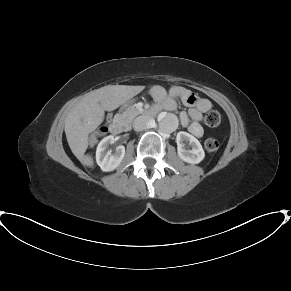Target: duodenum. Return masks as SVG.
I'll list each match as a JSON object with an SVG mask.
<instances>
[{"mask_svg": "<svg viewBox=\"0 0 291 291\" xmlns=\"http://www.w3.org/2000/svg\"><path fill=\"white\" fill-rule=\"evenodd\" d=\"M157 112H158V110L156 109V107H151L149 110H147L145 112V114L148 116H154ZM109 129H110V132L112 134H121V133L125 132L126 127H125V123L123 120L117 119V120H114L109 125Z\"/></svg>", "mask_w": 291, "mask_h": 291, "instance_id": "410a0bca", "label": "duodenum"}]
</instances>
